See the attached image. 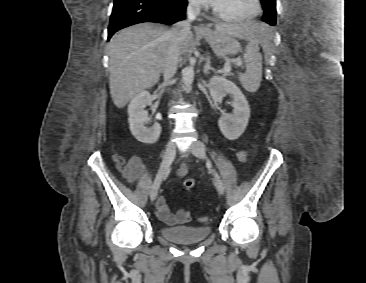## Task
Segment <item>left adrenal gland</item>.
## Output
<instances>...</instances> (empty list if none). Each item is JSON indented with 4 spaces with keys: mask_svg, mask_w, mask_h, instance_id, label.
<instances>
[{
    "mask_svg": "<svg viewBox=\"0 0 366 283\" xmlns=\"http://www.w3.org/2000/svg\"><path fill=\"white\" fill-rule=\"evenodd\" d=\"M210 71H213L214 73L216 72V70L213 67H211L210 58L208 57L207 60H206V64L204 66V69H203V73H204V75H208L210 73Z\"/></svg>",
    "mask_w": 366,
    "mask_h": 283,
    "instance_id": "obj_1",
    "label": "left adrenal gland"
}]
</instances>
